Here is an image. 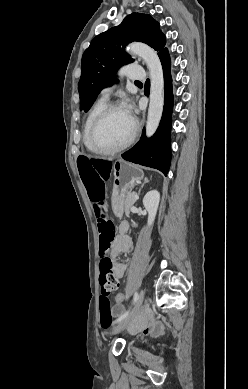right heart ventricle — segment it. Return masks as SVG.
<instances>
[{
	"mask_svg": "<svg viewBox=\"0 0 248 389\" xmlns=\"http://www.w3.org/2000/svg\"><path fill=\"white\" fill-rule=\"evenodd\" d=\"M107 104V99L105 98H100L98 99L91 107V109L89 110L87 116H86V119L84 121V125H83V143L85 145V147L90 150V151H93V152H96L91 143H90V140H89V134H90V128H91V125L94 121V119L96 118V116L98 115V113L103 109V107Z\"/></svg>",
	"mask_w": 248,
	"mask_h": 389,
	"instance_id": "right-heart-ventricle-1",
	"label": "right heart ventricle"
}]
</instances>
